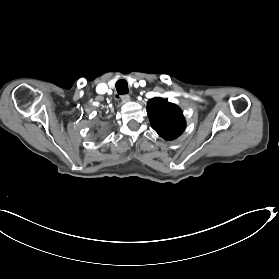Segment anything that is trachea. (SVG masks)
<instances>
[{
    "instance_id": "obj_1",
    "label": "trachea",
    "mask_w": 279,
    "mask_h": 279,
    "mask_svg": "<svg viewBox=\"0 0 279 279\" xmlns=\"http://www.w3.org/2000/svg\"><path fill=\"white\" fill-rule=\"evenodd\" d=\"M116 90L118 94H127L128 93V83L124 79H120L116 82Z\"/></svg>"
}]
</instances>
